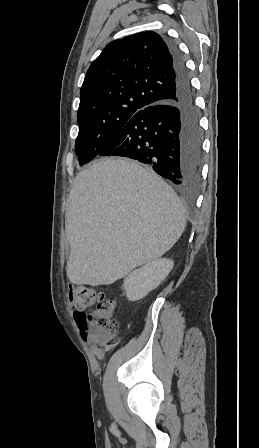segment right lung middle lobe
Returning <instances> with one entry per match:
<instances>
[{"label": "right lung middle lobe", "mask_w": 259, "mask_h": 448, "mask_svg": "<svg viewBox=\"0 0 259 448\" xmlns=\"http://www.w3.org/2000/svg\"><path fill=\"white\" fill-rule=\"evenodd\" d=\"M142 110L131 108L107 114L77 115L79 134L75 142V151L80 165L87 164L98 156L126 123Z\"/></svg>", "instance_id": "right-lung-middle-lobe-1"}]
</instances>
